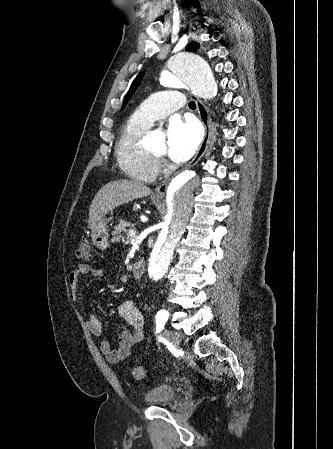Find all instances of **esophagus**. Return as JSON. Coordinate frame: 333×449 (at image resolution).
Segmentation results:
<instances>
[{
  "instance_id": "esophagus-1",
  "label": "esophagus",
  "mask_w": 333,
  "mask_h": 449,
  "mask_svg": "<svg viewBox=\"0 0 333 449\" xmlns=\"http://www.w3.org/2000/svg\"><path fill=\"white\" fill-rule=\"evenodd\" d=\"M191 96L196 102V107H197V111L199 114V118L205 128V134H204L203 141H202L196 155L194 156V158L190 161V163L188 165L189 167L197 164V162L202 158V156L204 155L205 151L207 150V147H208L209 143L211 142V138H212V120L208 113V110H207L206 106L204 105V103L200 99H198L194 95H191ZM167 187H168V182H163L161 185H159L155 189V195L158 197H163L165 195Z\"/></svg>"
}]
</instances>
